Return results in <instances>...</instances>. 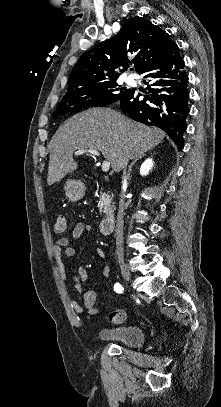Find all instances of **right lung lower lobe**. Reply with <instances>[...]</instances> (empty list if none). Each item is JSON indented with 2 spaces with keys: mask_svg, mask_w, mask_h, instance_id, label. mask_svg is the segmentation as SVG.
Listing matches in <instances>:
<instances>
[{
  "mask_svg": "<svg viewBox=\"0 0 221 407\" xmlns=\"http://www.w3.org/2000/svg\"><path fill=\"white\" fill-rule=\"evenodd\" d=\"M178 46L173 43L165 56L152 62L140 74L147 78L144 94L130 90L118 103L135 121L165 130L178 149L183 148V133L189 114L188 75ZM143 99H139L140 96Z\"/></svg>",
  "mask_w": 221,
  "mask_h": 407,
  "instance_id": "right-lung-lower-lobe-1",
  "label": "right lung lower lobe"
}]
</instances>
